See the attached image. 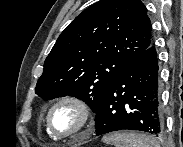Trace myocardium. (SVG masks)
<instances>
[{
    "instance_id": "obj_1",
    "label": "myocardium",
    "mask_w": 183,
    "mask_h": 147,
    "mask_svg": "<svg viewBox=\"0 0 183 147\" xmlns=\"http://www.w3.org/2000/svg\"><path fill=\"white\" fill-rule=\"evenodd\" d=\"M67 103L74 105L80 111L81 116H82L81 124L76 130H74L72 132H69L66 134H59V133L55 132L52 127L51 114L56 107H58L59 105H62V104H67ZM92 119H93L92 109L86 100H84L83 98L78 97V96L67 95V96H63V97L57 99L49 107L47 114H46V125H47V129H48L49 133L54 138L68 139V138L74 137V136L82 133L85 129H87L90 126Z\"/></svg>"
}]
</instances>
